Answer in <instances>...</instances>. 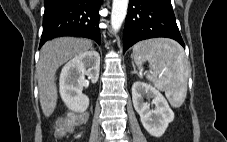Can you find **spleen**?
I'll return each mask as SVG.
<instances>
[{"label": "spleen", "instance_id": "1", "mask_svg": "<svg viewBox=\"0 0 227 142\" xmlns=\"http://www.w3.org/2000/svg\"><path fill=\"white\" fill-rule=\"evenodd\" d=\"M141 71L145 61L153 73L147 76L154 86L165 92L174 107H180L186 98L189 75L188 61L183 48L175 41L158 38L138 42L132 55Z\"/></svg>", "mask_w": 227, "mask_h": 142}]
</instances>
